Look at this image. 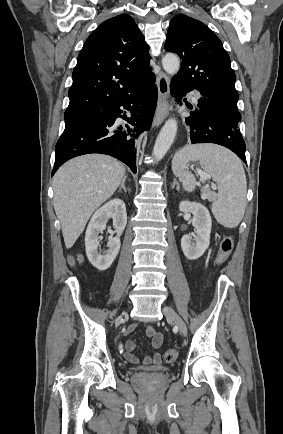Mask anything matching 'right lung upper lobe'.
<instances>
[{
    "label": "right lung upper lobe",
    "instance_id": "cb5924a9",
    "mask_svg": "<svg viewBox=\"0 0 283 434\" xmlns=\"http://www.w3.org/2000/svg\"><path fill=\"white\" fill-rule=\"evenodd\" d=\"M148 51L130 16L119 15L98 26L78 56L64 119L101 110L134 91L152 74Z\"/></svg>",
    "mask_w": 283,
    "mask_h": 434
}]
</instances>
